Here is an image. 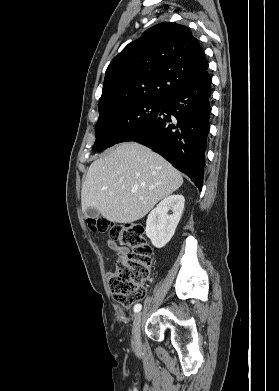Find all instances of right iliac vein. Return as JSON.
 <instances>
[{
  "instance_id": "obj_1",
  "label": "right iliac vein",
  "mask_w": 279,
  "mask_h": 391,
  "mask_svg": "<svg viewBox=\"0 0 279 391\" xmlns=\"http://www.w3.org/2000/svg\"><path fill=\"white\" fill-rule=\"evenodd\" d=\"M141 322H142V314L138 313L135 316L133 327H132V336L135 345H139L140 343Z\"/></svg>"
}]
</instances>
